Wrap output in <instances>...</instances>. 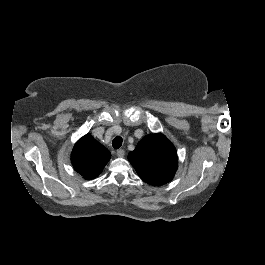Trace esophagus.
<instances>
[{
  "instance_id": "1",
  "label": "esophagus",
  "mask_w": 265,
  "mask_h": 265,
  "mask_svg": "<svg viewBox=\"0 0 265 265\" xmlns=\"http://www.w3.org/2000/svg\"><path fill=\"white\" fill-rule=\"evenodd\" d=\"M125 151L123 149H118L117 150V156L122 158L124 157Z\"/></svg>"
}]
</instances>
